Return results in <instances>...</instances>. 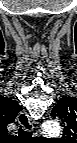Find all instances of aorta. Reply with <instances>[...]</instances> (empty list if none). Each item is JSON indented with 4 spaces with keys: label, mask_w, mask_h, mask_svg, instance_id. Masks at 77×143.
Here are the masks:
<instances>
[{
    "label": "aorta",
    "mask_w": 77,
    "mask_h": 143,
    "mask_svg": "<svg viewBox=\"0 0 77 143\" xmlns=\"http://www.w3.org/2000/svg\"><path fill=\"white\" fill-rule=\"evenodd\" d=\"M42 131L44 134H47L49 136H56V135H59L61 131V127L58 122L46 121L42 125Z\"/></svg>",
    "instance_id": "762f6f07"
}]
</instances>
